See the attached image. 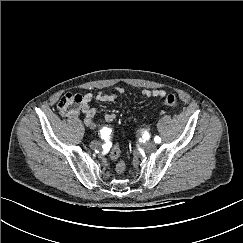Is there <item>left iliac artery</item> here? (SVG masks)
Returning a JSON list of instances; mask_svg holds the SVG:
<instances>
[{"instance_id": "left-iliac-artery-1", "label": "left iliac artery", "mask_w": 243, "mask_h": 243, "mask_svg": "<svg viewBox=\"0 0 243 243\" xmlns=\"http://www.w3.org/2000/svg\"><path fill=\"white\" fill-rule=\"evenodd\" d=\"M154 141H155V143H160L161 142V138L159 136H156L154 138Z\"/></svg>"}]
</instances>
